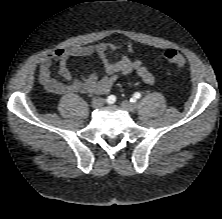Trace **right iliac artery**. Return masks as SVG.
<instances>
[{
    "instance_id": "1",
    "label": "right iliac artery",
    "mask_w": 222,
    "mask_h": 219,
    "mask_svg": "<svg viewBox=\"0 0 222 219\" xmlns=\"http://www.w3.org/2000/svg\"><path fill=\"white\" fill-rule=\"evenodd\" d=\"M116 101V97L114 96V95H111V96H109L108 98H107V102L109 103V104H112V103H114Z\"/></svg>"
}]
</instances>
